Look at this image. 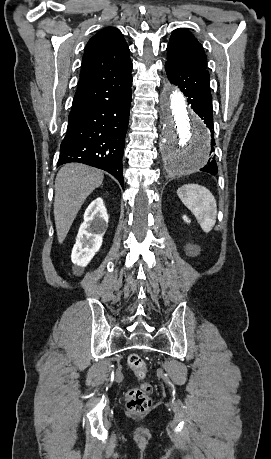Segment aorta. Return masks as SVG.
<instances>
[{
  "mask_svg": "<svg viewBox=\"0 0 271 459\" xmlns=\"http://www.w3.org/2000/svg\"><path fill=\"white\" fill-rule=\"evenodd\" d=\"M164 125L160 152L165 170L170 175L197 171L209 159L210 139L202 123L189 115L184 95L173 90L161 97Z\"/></svg>",
  "mask_w": 271,
  "mask_h": 459,
  "instance_id": "obj_1",
  "label": "aorta"
}]
</instances>
